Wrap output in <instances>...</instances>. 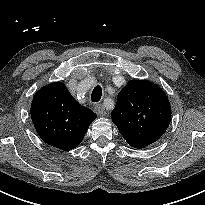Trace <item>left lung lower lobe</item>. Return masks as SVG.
Instances as JSON below:
<instances>
[{
  "mask_svg": "<svg viewBox=\"0 0 205 205\" xmlns=\"http://www.w3.org/2000/svg\"><path fill=\"white\" fill-rule=\"evenodd\" d=\"M127 142H128V144L130 145V146H132V147H134V148H137V149H141V148H144L145 146H142V145H140V144H137V143H134V142H131V141H128V140H126Z\"/></svg>",
  "mask_w": 205,
  "mask_h": 205,
  "instance_id": "1",
  "label": "left lung lower lobe"
}]
</instances>
